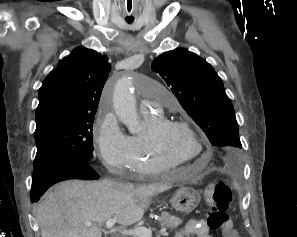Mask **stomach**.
I'll use <instances>...</instances> for the list:
<instances>
[{
  "label": "stomach",
  "instance_id": "0dacf381",
  "mask_svg": "<svg viewBox=\"0 0 297 237\" xmlns=\"http://www.w3.org/2000/svg\"><path fill=\"white\" fill-rule=\"evenodd\" d=\"M200 199L197 191L182 187L174 193L170 202L176 211L189 214L198 206Z\"/></svg>",
  "mask_w": 297,
  "mask_h": 237
}]
</instances>
